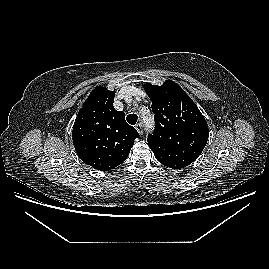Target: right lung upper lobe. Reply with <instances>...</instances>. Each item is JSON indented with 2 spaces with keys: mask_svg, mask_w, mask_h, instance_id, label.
Returning a JSON list of instances; mask_svg holds the SVG:
<instances>
[{
  "mask_svg": "<svg viewBox=\"0 0 269 269\" xmlns=\"http://www.w3.org/2000/svg\"><path fill=\"white\" fill-rule=\"evenodd\" d=\"M113 91L96 87L79 111L72 140L79 158L91 167L111 170L125 161L139 136L126 123L125 113L113 107Z\"/></svg>",
  "mask_w": 269,
  "mask_h": 269,
  "instance_id": "cb5924a9",
  "label": "right lung upper lobe"
}]
</instances>
